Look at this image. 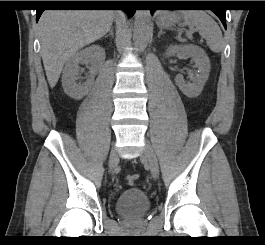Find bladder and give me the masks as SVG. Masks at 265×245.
I'll list each match as a JSON object with an SVG mask.
<instances>
[{"mask_svg": "<svg viewBox=\"0 0 265 245\" xmlns=\"http://www.w3.org/2000/svg\"><path fill=\"white\" fill-rule=\"evenodd\" d=\"M150 208L148 196L136 188L122 191L115 202L117 214L127 219L139 218L145 215Z\"/></svg>", "mask_w": 265, "mask_h": 245, "instance_id": "obj_1", "label": "bladder"}]
</instances>
